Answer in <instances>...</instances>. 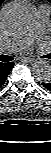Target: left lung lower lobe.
<instances>
[{"label": "left lung lower lobe", "mask_w": 51, "mask_h": 153, "mask_svg": "<svg viewBox=\"0 0 51 153\" xmlns=\"http://www.w3.org/2000/svg\"><path fill=\"white\" fill-rule=\"evenodd\" d=\"M42 85L47 88L48 90L51 91V82H48V83H42Z\"/></svg>", "instance_id": "left-lung-lower-lobe-1"}]
</instances>
